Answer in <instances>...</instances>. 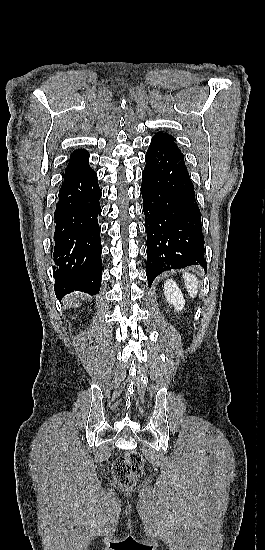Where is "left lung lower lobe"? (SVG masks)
Returning <instances> with one entry per match:
<instances>
[{"label": "left lung lower lobe", "instance_id": "1", "mask_svg": "<svg viewBox=\"0 0 265 550\" xmlns=\"http://www.w3.org/2000/svg\"><path fill=\"white\" fill-rule=\"evenodd\" d=\"M141 194L149 286L160 273L190 265L207 269L201 213L181 151L151 141Z\"/></svg>", "mask_w": 265, "mask_h": 550}]
</instances>
